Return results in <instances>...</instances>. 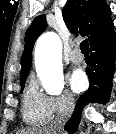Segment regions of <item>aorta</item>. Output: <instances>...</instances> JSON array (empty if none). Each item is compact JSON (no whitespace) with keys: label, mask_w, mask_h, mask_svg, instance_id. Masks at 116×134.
I'll list each match as a JSON object with an SVG mask.
<instances>
[{"label":"aorta","mask_w":116,"mask_h":134,"mask_svg":"<svg viewBox=\"0 0 116 134\" xmlns=\"http://www.w3.org/2000/svg\"><path fill=\"white\" fill-rule=\"evenodd\" d=\"M62 43L54 32L39 37L35 47V65L40 81L48 94L59 95L64 88Z\"/></svg>","instance_id":"aorta-1"}]
</instances>
